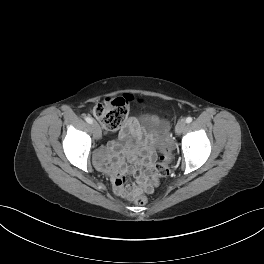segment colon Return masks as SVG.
Returning <instances> with one entry per match:
<instances>
[{
    "instance_id": "obj_1",
    "label": "colon",
    "mask_w": 264,
    "mask_h": 264,
    "mask_svg": "<svg viewBox=\"0 0 264 264\" xmlns=\"http://www.w3.org/2000/svg\"><path fill=\"white\" fill-rule=\"evenodd\" d=\"M134 101L131 95H123L114 99L107 100L104 103L93 106L92 115L101 122L103 127L108 131L120 129L130 110V106ZM171 155L168 150H162L160 161L155 167V177H166L169 174L168 163ZM152 186L146 183V177L140 176L133 182H127V178H123L119 190L120 196L134 200L139 206H145L148 198L145 193H151Z\"/></svg>"
}]
</instances>
